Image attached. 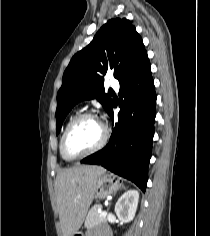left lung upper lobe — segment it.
<instances>
[{
	"mask_svg": "<svg viewBox=\"0 0 210 236\" xmlns=\"http://www.w3.org/2000/svg\"><path fill=\"white\" fill-rule=\"evenodd\" d=\"M148 60L142 38L132 23L125 18L109 20L91 43L73 56L63 74L57 94L56 133L60 132L69 111L81 100L96 98L109 112L112 100L104 89L107 71L112 70L122 83Z\"/></svg>",
	"mask_w": 210,
	"mask_h": 236,
	"instance_id": "left-lung-upper-lobe-1",
	"label": "left lung upper lobe"
}]
</instances>
